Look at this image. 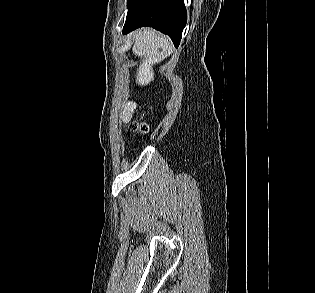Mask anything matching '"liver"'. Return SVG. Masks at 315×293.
I'll list each match as a JSON object with an SVG mask.
<instances>
[{
  "mask_svg": "<svg viewBox=\"0 0 315 293\" xmlns=\"http://www.w3.org/2000/svg\"><path fill=\"white\" fill-rule=\"evenodd\" d=\"M161 48L159 52L158 49ZM133 53L137 56H145L146 59L140 64L137 69L136 82L138 85L145 86L154 80L153 65L160 63L173 51V46L170 39L157 31L149 28L142 29L136 32ZM137 104L133 101H128L124 104L121 119L124 123L131 120L134 109Z\"/></svg>",
  "mask_w": 315,
  "mask_h": 293,
  "instance_id": "1",
  "label": "liver"
}]
</instances>
